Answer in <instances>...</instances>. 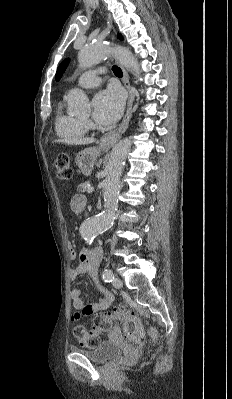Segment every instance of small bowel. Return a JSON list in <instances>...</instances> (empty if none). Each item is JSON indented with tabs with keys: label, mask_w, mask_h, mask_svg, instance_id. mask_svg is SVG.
Listing matches in <instances>:
<instances>
[{
	"label": "small bowel",
	"mask_w": 232,
	"mask_h": 399,
	"mask_svg": "<svg viewBox=\"0 0 232 399\" xmlns=\"http://www.w3.org/2000/svg\"><path fill=\"white\" fill-rule=\"evenodd\" d=\"M85 204V198L82 194L76 193L72 195L70 200V208L74 211L81 210ZM70 259H78L79 265L76 270L69 274V283L75 284L79 274L88 273L92 283L96 286L102 298L93 305H87L83 297L77 290H71L69 293L70 300L75 308L82 310L84 313H91L100 309H107L112 304V294L104 287L98 285V266L102 261V250L98 246L91 250L88 248H81L77 250L72 242L68 243Z\"/></svg>",
	"instance_id": "small-bowel-1"
}]
</instances>
